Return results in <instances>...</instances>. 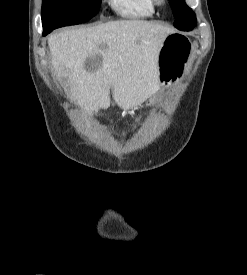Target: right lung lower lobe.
<instances>
[{
    "label": "right lung lower lobe",
    "instance_id": "right-lung-lower-lobe-1",
    "mask_svg": "<svg viewBox=\"0 0 247 275\" xmlns=\"http://www.w3.org/2000/svg\"><path fill=\"white\" fill-rule=\"evenodd\" d=\"M48 33H50L49 31H43V36L47 35Z\"/></svg>",
    "mask_w": 247,
    "mask_h": 275
}]
</instances>
